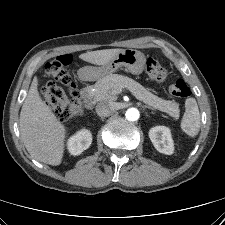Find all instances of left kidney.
<instances>
[{"label": "left kidney", "mask_w": 225, "mask_h": 225, "mask_svg": "<svg viewBox=\"0 0 225 225\" xmlns=\"http://www.w3.org/2000/svg\"><path fill=\"white\" fill-rule=\"evenodd\" d=\"M149 137L155 149L160 153L171 155L174 151V144L169 128L156 126L150 129Z\"/></svg>", "instance_id": "5707ae66"}]
</instances>
